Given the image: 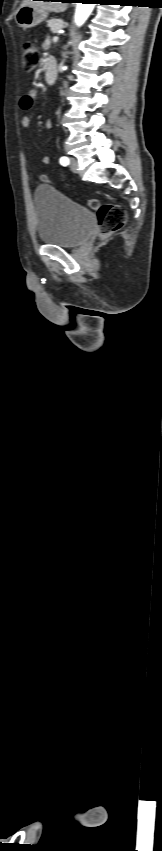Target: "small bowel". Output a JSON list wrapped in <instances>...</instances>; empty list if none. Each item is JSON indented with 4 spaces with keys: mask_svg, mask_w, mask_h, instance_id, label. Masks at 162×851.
Listing matches in <instances>:
<instances>
[{
    "mask_svg": "<svg viewBox=\"0 0 162 851\" xmlns=\"http://www.w3.org/2000/svg\"><path fill=\"white\" fill-rule=\"evenodd\" d=\"M52 59H53V58H52ZM36 97H37V92H36L35 90H30V91H29L26 95H24V96L21 98V100H20V107H21V109H23V110H29V109L32 107V105H33V103H34V101H35ZM30 123H31V119H30V117H29L28 115H24V116L21 118V125H22V127H23V128H25V129H26V128H28V127L30 126ZM51 125H52V121H51V120H48V121L46 122V124H45L46 128H50V127H51ZM42 163H43L44 165H48V164L50 163V158H49L48 156H44V157L42 158Z\"/></svg>",
    "mask_w": 162,
    "mask_h": 851,
    "instance_id": "1",
    "label": "small bowel"
}]
</instances>
